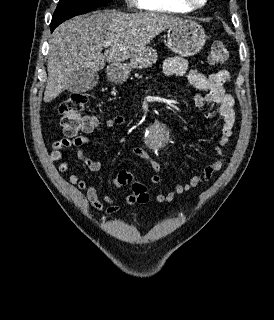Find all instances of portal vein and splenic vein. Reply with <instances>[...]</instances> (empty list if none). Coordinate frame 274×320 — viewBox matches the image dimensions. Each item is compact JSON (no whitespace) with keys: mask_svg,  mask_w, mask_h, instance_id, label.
<instances>
[{"mask_svg":"<svg viewBox=\"0 0 274 320\" xmlns=\"http://www.w3.org/2000/svg\"><path fill=\"white\" fill-rule=\"evenodd\" d=\"M111 44H113V42H105V44H103V46H111Z\"/></svg>","mask_w":274,"mask_h":320,"instance_id":"18ae733b","label":"portal vein and splenic vein"}]
</instances>
